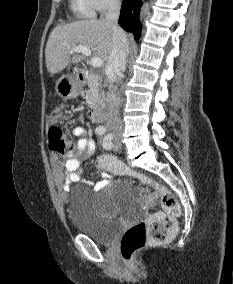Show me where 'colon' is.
Instances as JSON below:
<instances>
[{"label":"colon","instance_id":"1","mask_svg":"<svg viewBox=\"0 0 233 284\" xmlns=\"http://www.w3.org/2000/svg\"><path fill=\"white\" fill-rule=\"evenodd\" d=\"M49 144L53 150L61 154L73 151L71 141L57 124L49 128ZM96 165L107 173L132 178L142 184L153 186L161 201L163 211L156 212L149 219L134 224L123 234L120 251L125 262L131 263L135 253L144 248L147 243L165 242L172 237L176 229V217L180 213V207L167 188L147 175L130 169L112 156H101L96 161Z\"/></svg>","mask_w":233,"mask_h":284}]
</instances>
